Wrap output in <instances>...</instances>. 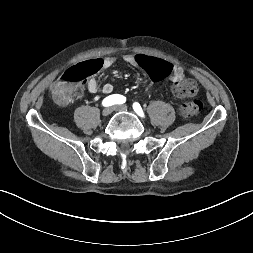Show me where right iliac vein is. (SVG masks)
Instances as JSON below:
<instances>
[{
  "mask_svg": "<svg viewBox=\"0 0 253 253\" xmlns=\"http://www.w3.org/2000/svg\"><path fill=\"white\" fill-rule=\"evenodd\" d=\"M111 113H112V108H111V107H107V108H105V109L102 111V115H103L104 117L109 116Z\"/></svg>",
  "mask_w": 253,
  "mask_h": 253,
  "instance_id": "obj_1",
  "label": "right iliac vein"
}]
</instances>
